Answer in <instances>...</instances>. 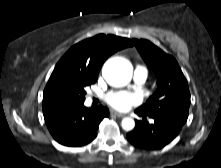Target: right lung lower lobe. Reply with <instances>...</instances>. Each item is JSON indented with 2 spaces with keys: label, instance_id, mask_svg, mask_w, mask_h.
Wrapping results in <instances>:
<instances>
[{
  "label": "right lung lower lobe",
  "instance_id": "98d812e1",
  "mask_svg": "<svg viewBox=\"0 0 221 168\" xmlns=\"http://www.w3.org/2000/svg\"><path fill=\"white\" fill-rule=\"evenodd\" d=\"M48 130L62 145L77 147L90 143L97 135L101 120L109 116L106 107L86 108L84 102L52 100L43 103Z\"/></svg>",
  "mask_w": 221,
  "mask_h": 168
}]
</instances>
